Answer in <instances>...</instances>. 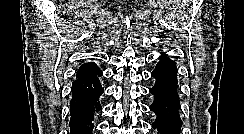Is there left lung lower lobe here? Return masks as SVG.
Returning <instances> with one entry per match:
<instances>
[{
  "label": "left lung lower lobe",
  "mask_w": 244,
  "mask_h": 134,
  "mask_svg": "<svg viewBox=\"0 0 244 134\" xmlns=\"http://www.w3.org/2000/svg\"><path fill=\"white\" fill-rule=\"evenodd\" d=\"M150 93L155 97L150 110L157 115V119L152 124V127L158 131L157 134H180L182 121L179 116L177 85L166 86L156 80Z\"/></svg>",
  "instance_id": "obj_1"
}]
</instances>
